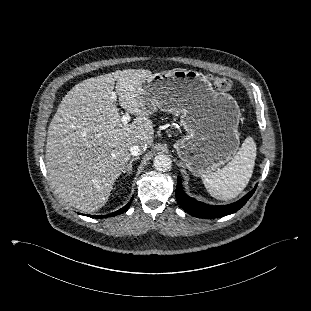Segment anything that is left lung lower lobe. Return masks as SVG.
<instances>
[{"mask_svg":"<svg viewBox=\"0 0 311 311\" xmlns=\"http://www.w3.org/2000/svg\"><path fill=\"white\" fill-rule=\"evenodd\" d=\"M256 187L257 186H255V188ZM255 188L251 192H249L247 195H245L242 199H240L239 201L233 204L223 205V206H212V205L204 204L202 202H199L189 197L183 191L181 178L178 177L177 186H176V199L178 203L180 204V206L192 216L206 218V219L220 218V217H224L226 215L235 213L241 207H243L246 204V202L249 200V198L255 192Z\"/></svg>","mask_w":311,"mask_h":311,"instance_id":"0a47b994","label":"left lung lower lobe"}]
</instances>
